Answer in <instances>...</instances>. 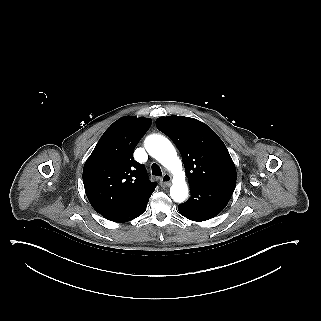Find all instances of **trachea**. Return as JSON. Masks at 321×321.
<instances>
[{"mask_svg": "<svg viewBox=\"0 0 321 321\" xmlns=\"http://www.w3.org/2000/svg\"><path fill=\"white\" fill-rule=\"evenodd\" d=\"M152 175H154V176H161L162 175L161 169L156 163L152 164Z\"/></svg>", "mask_w": 321, "mask_h": 321, "instance_id": "obj_1", "label": "trachea"}]
</instances>
